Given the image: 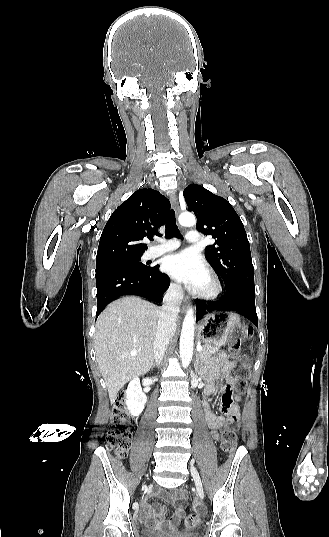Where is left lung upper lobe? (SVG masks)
<instances>
[{
  "label": "left lung upper lobe",
  "mask_w": 329,
  "mask_h": 537,
  "mask_svg": "<svg viewBox=\"0 0 329 537\" xmlns=\"http://www.w3.org/2000/svg\"><path fill=\"white\" fill-rule=\"evenodd\" d=\"M183 195L189 211L197 217V230L216 240L205 249V257L221 276L226 291L254 287L249 241L232 205L197 184L189 185Z\"/></svg>",
  "instance_id": "5c2ea615"
}]
</instances>
